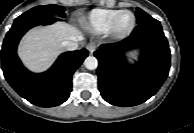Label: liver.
Returning a JSON list of instances; mask_svg holds the SVG:
<instances>
[{"mask_svg": "<svg viewBox=\"0 0 194 133\" xmlns=\"http://www.w3.org/2000/svg\"><path fill=\"white\" fill-rule=\"evenodd\" d=\"M79 37H82L81 32L65 22L34 28L23 37L18 54L28 69L42 72L48 69L60 54L62 42H79Z\"/></svg>", "mask_w": 194, "mask_h": 133, "instance_id": "obj_1", "label": "liver"}]
</instances>
